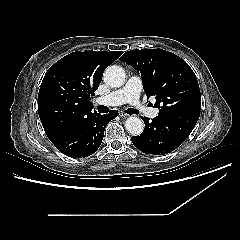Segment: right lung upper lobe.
Here are the masks:
<instances>
[{
  "instance_id": "right-lung-upper-lobe-1",
  "label": "right lung upper lobe",
  "mask_w": 240,
  "mask_h": 240,
  "mask_svg": "<svg viewBox=\"0 0 240 240\" xmlns=\"http://www.w3.org/2000/svg\"><path fill=\"white\" fill-rule=\"evenodd\" d=\"M122 52H73L46 72L38 94V113L49 139L81 125L92 112L91 96L101 83L104 70Z\"/></svg>"
}]
</instances>
